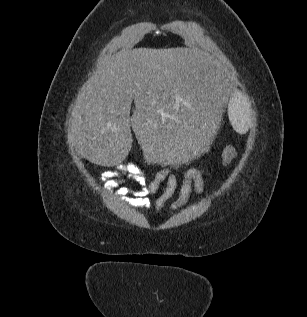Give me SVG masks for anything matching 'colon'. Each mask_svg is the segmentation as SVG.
<instances>
[{
  "mask_svg": "<svg viewBox=\"0 0 307 317\" xmlns=\"http://www.w3.org/2000/svg\"><path fill=\"white\" fill-rule=\"evenodd\" d=\"M237 155V151L234 147L232 146H228L224 149L223 154H222V163L223 165L227 166L230 164V162L236 157ZM172 167L175 168H182V167H186L188 169H196L198 171L201 172L202 169L195 167L194 165L191 164H181V163H177V164H173Z\"/></svg>",
  "mask_w": 307,
  "mask_h": 317,
  "instance_id": "obj_1",
  "label": "colon"
}]
</instances>
